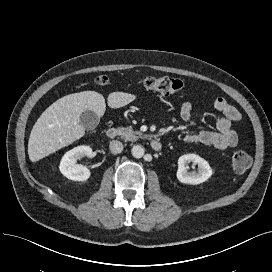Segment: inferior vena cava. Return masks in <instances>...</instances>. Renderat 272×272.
Here are the masks:
<instances>
[{
  "mask_svg": "<svg viewBox=\"0 0 272 272\" xmlns=\"http://www.w3.org/2000/svg\"><path fill=\"white\" fill-rule=\"evenodd\" d=\"M111 152L117 154L123 151V144L120 141L112 140L109 144Z\"/></svg>",
  "mask_w": 272,
  "mask_h": 272,
  "instance_id": "1",
  "label": "inferior vena cava"
}]
</instances>
